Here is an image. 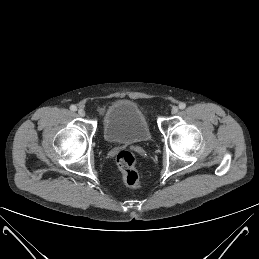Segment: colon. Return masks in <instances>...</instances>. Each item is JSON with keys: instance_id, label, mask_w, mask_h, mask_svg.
Returning a JSON list of instances; mask_svg holds the SVG:
<instances>
[{"instance_id": "1", "label": "colon", "mask_w": 259, "mask_h": 259, "mask_svg": "<svg viewBox=\"0 0 259 259\" xmlns=\"http://www.w3.org/2000/svg\"><path fill=\"white\" fill-rule=\"evenodd\" d=\"M116 163L125 183L132 188L140 187L141 180L136 169L135 155L131 151L122 150L117 154Z\"/></svg>"}]
</instances>
